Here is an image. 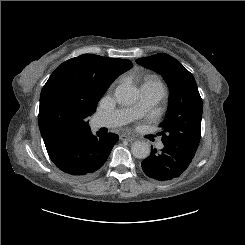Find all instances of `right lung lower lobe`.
I'll use <instances>...</instances> for the list:
<instances>
[{
  "instance_id": "obj_1",
  "label": "right lung lower lobe",
  "mask_w": 245,
  "mask_h": 245,
  "mask_svg": "<svg viewBox=\"0 0 245 245\" xmlns=\"http://www.w3.org/2000/svg\"><path fill=\"white\" fill-rule=\"evenodd\" d=\"M117 141L116 135L97 132L94 136L90 131L72 141L52 161L72 178L86 180L105 163Z\"/></svg>"
}]
</instances>
